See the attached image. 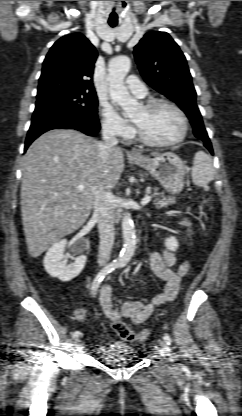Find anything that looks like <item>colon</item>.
I'll use <instances>...</instances> for the list:
<instances>
[{"label":"colon","instance_id":"5ec220e1","mask_svg":"<svg viewBox=\"0 0 242 416\" xmlns=\"http://www.w3.org/2000/svg\"><path fill=\"white\" fill-rule=\"evenodd\" d=\"M112 329L114 333L120 338L126 341L142 342L150 337L151 332L149 330L133 331L122 320H115L112 322Z\"/></svg>","mask_w":242,"mask_h":416}]
</instances>
